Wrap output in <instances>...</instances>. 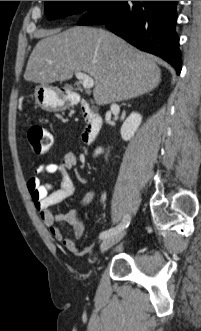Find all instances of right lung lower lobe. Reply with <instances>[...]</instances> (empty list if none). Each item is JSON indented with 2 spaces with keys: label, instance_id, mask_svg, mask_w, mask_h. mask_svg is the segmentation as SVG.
<instances>
[{
  "label": "right lung lower lobe",
  "instance_id": "1",
  "mask_svg": "<svg viewBox=\"0 0 201 331\" xmlns=\"http://www.w3.org/2000/svg\"><path fill=\"white\" fill-rule=\"evenodd\" d=\"M178 1H100L78 25L104 24L135 47L155 54L181 71L175 31Z\"/></svg>",
  "mask_w": 201,
  "mask_h": 331
}]
</instances>
